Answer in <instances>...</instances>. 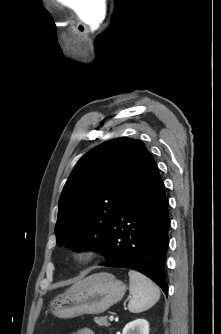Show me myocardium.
I'll return each instance as SVG.
<instances>
[{
  "instance_id": "myocardium-1",
  "label": "myocardium",
  "mask_w": 221,
  "mask_h": 334,
  "mask_svg": "<svg viewBox=\"0 0 221 334\" xmlns=\"http://www.w3.org/2000/svg\"><path fill=\"white\" fill-rule=\"evenodd\" d=\"M98 252L92 246H81L73 250L72 261L76 265H86L95 259Z\"/></svg>"
}]
</instances>
